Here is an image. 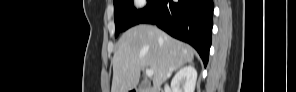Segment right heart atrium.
<instances>
[{
	"label": "right heart atrium",
	"instance_id": "obj_1",
	"mask_svg": "<svg viewBox=\"0 0 296 92\" xmlns=\"http://www.w3.org/2000/svg\"><path fill=\"white\" fill-rule=\"evenodd\" d=\"M137 4H138L139 7H142L144 5V2L138 1Z\"/></svg>",
	"mask_w": 296,
	"mask_h": 92
}]
</instances>
